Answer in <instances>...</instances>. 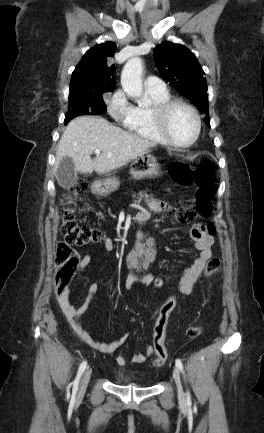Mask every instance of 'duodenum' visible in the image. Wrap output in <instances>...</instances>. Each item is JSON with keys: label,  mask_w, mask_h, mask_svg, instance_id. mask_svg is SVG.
Returning <instances> with one entry per match:
<instances>
[{"label": "duodenum", "mask_w": 264, "mask_h": 433, "mask_svg": "<svg viewBox=\"0 0 264 433\" xmlns=\"http://www.w3.org/2000/svg\"><path fill=\"white\" fill-rule=\"evenodd\" d=\"M143 214H140L137 216V219H141L143 218ZM154 257V250L152 247H143V248H139L136 251V254L134 255V258L136 260L140 259L143 263L148 264L153 260Z\"/></svg>", "instance_id": "duodenum-1"}]
</instances>
